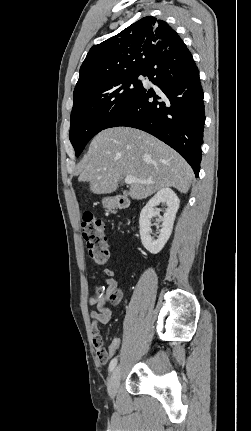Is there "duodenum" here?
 I'll return each instance as SVG.
<instances>
[{"mask_svg": "<svg viewBox=\"0 0 251 431\" xmlns=\"http://www.w3.org/2000/svg\"><path fill=\"white\" fill-rule=\"evenodd\" d=\"M114 204L119 208H125L128 206V201L123 197H119L116 199Z\"/></svg>", "mask_w": 251, "mask_h": 431, "instance_id": "1", "label": "duodenum"}]
</instances>
